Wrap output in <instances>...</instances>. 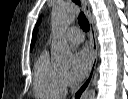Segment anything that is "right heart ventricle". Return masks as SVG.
<instances>
[{"mask_svg":"<svg viewBox=\"0 0 128 99\" xmlns=\"http://www.w3.org/2000/svg\"><path fill=\"white\" fill-rule=\"evenodd\" d=\"M62 70L51 62L48 52L40 54L34 71V94L38 99H60L66 93Z\"/></svg>","mask_w":128,"mask_h":99,"instance_id":"obj_1","label":"right heart ventricle"}]
</instances>
